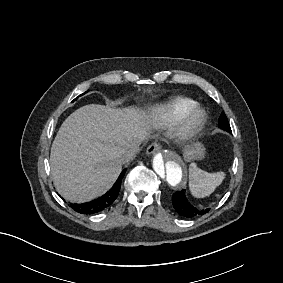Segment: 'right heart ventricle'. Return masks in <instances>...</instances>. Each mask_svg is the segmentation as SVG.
Returning a JSON list of instances; mask_svg holds the SVG:
<instances>
[{"mask_svg": "<svg viewBox=\"0 0 283 283\" xmlns=\"http://www.w3.org/2000/svg\"><path fill=\"white\" fill-rule=\"evenodd\" d=\"M172 103L180 104L186 108L199 105L198 101H196L195 99L189 97H178L166 105H160L151 108V113L156 116L157 120H159L162 123V125L164 123V118H165V109L169 104Z\"/></svg>", "mask_w": 283, "mask_h": 283, "instance_id": "obj_1", "label": "right heart ventricle"}]
</instances>
